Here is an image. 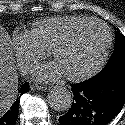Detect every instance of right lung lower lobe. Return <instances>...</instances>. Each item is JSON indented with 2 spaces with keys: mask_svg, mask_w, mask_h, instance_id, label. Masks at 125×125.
<instances>
[{
  "mask_svg": "<svg viewBox=\"0 0 125 125\" xmlns=\"http://www.w3.org/2000/svg\"><path fill=\"white\" fill-rule=\"evenodd\" d=\"M29 92V83H24L19 89L18 93L20 95ZM18 107L19 100H16L14 104L10 107V109L4 114L0 115V125H15L18 118Z\"/></svg>",
  "mask_w": 125,
  "mask_h": 125,
  "instance_id": "1",
  "label": "right lung lower lobe"
}]
</instances>
